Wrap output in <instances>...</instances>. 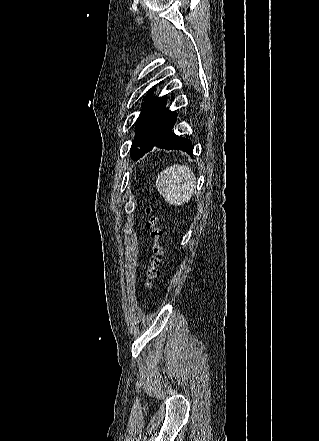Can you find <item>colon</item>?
<instances>
[{"mask_svg": "<svg viewBox=\"0 0 319 441\" xmlns=\"http://www.w3.org/2000/svg\"><path fill=\"white\" fill-rule=\"evenodd\" d=\"M142 216L145 219V224L152 238V253L149 258V264L146 270V277L144 287L146 290L151 288L153 282L159 277V266L161 264V257L163 255V248L161 246L162 230L158 226L157 217L152 215V208L146 207Z\"/></svg>", "mask_w": 319, "mask_h": 441, "instance_id": "1", "label": "colon"}]
</instances>
